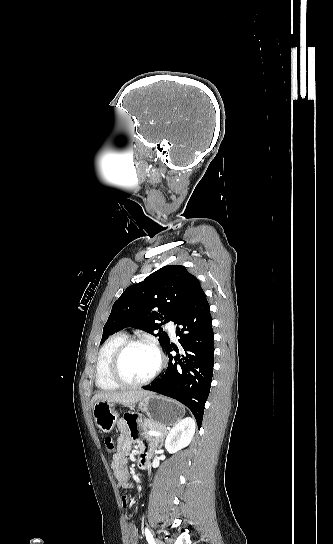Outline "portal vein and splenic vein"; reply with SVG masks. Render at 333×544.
<instances>
[{"label":"portal vein and splenic vein","instance_id":"obj_1","mask_svg":"<svg viewBox=\"0 0 333 544\" xmlns=\"http://www.w3.org/2000/svg\"><path fill=\"white\" fill-rule=\"evenodd\" d=\"M148 434L153 435V436H160L162 433L155 432V431H149Z\"/></svg>","mask_w":333,"mask_h":544}]
</instances>
